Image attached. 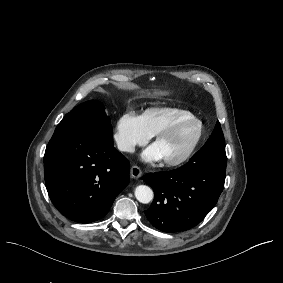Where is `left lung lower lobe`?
<instances>
[{"label":"left lung lower lobe","instance_id":"0a47b994","mask_svg":"<svg viewBox=\"0 0 283 283\" xmlns=\"http://www.w3.org/2000/svg\"><path fill=\"white\" fill-rule=\"evenodd\" d=\"M227 157L225 146L205 144L178 169L148 173L143 177L154 190L151 207L144 211L158 230H188L212 210L223 191Z\"/></svg>","mask_w":283,"mask_h":283}]
</instances>
